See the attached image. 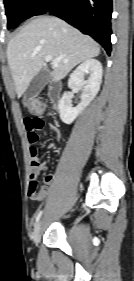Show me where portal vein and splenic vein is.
Returning <instances> with one entry per match:
<instances>
[{
	"label": "portal vein and splenic vein",
	"mask_w": 134,
	"mask_h": 281,
	"mask_svg": "<svg viewBox=\"0 0 134 281\" xmlns=\"http://www.w3.org/2000/svg\"><path fill=\"white\" fill-rule=\"evenodd\" d=\"M59 60H60V59H55V60H54L51 56H46V57H45V61H46V62H50V61H51V62H52V66H53L54 68L58 67V62H59Z\"/></svg>",
	"instance_id": "obj_1"
}]
</instances>
